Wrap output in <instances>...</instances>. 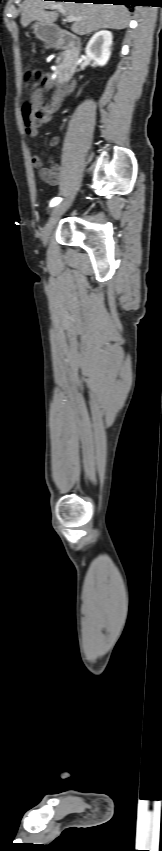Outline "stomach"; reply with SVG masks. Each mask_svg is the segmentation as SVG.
I'll return each instance as SVG.
<instances>
[{"instance_id":"1","label":"stomach","mask_w":162,"mask_h":851,"mask_svg":"<svg viewBox=\"0 0 162 851\" xmlns=\"http://www.w3.org/2000/svg\"><path fill=\"white\" fill-rule=\"evenodd\" d=\"M35 35L46 43H54L59 38L58 28L54 25H48L37 22L33 25Z\"/></svg>"}]
</instances>
